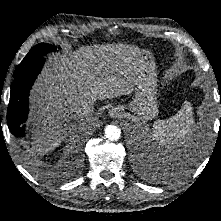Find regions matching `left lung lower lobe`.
Masks as SVG:
<instances>
[{"instance_id": "0a47b994", "label": "left lung lower lobe", "mask_w": 221, "mask_h": 221, "mask_svg": "<svg viewBox=\"0 0 221 221\" xmlns=\"http://www.w3.org/2000/svg\"><path fill=\"white\" fill-rule=\"evenodd\" d=\"M191 147L190 146H184L180 149L178 153L174 154V160L171 162V165L174 166V169L181 167L184 162H186L189 158V155L191 153ZM158 170L159 168H154Z\"/></svg>"}]
</instances>
